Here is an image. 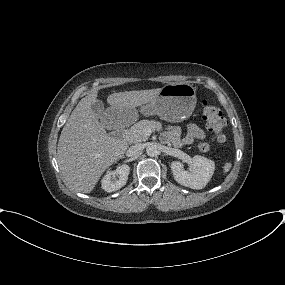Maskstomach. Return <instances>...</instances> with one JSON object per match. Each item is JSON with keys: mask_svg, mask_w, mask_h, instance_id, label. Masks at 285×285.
<instances>
[{"mask_svg": "<svg viewBox=\"0 0 285 285\" xmlns=\"http://www.w3.org/2000/svg\"><path fill=\"white\" fill-rule=\"evenodd\" d=\"M196 89L190 83H170L161 88L159 94L149 103L141 106L144 116L157 115L169 122H179L189 117L196 106ZM118 120L130 115L137 117L138 111L111 107Z\"/></svg>", "mask_w": 285, "mask_h": 285, "instance_id": "stomach-1", "label": "stomach"}]
</instances>
